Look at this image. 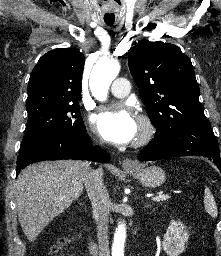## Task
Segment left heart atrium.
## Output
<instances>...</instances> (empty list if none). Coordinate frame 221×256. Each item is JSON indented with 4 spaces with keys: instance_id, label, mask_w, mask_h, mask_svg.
Returning a JSON list of instances; mask_svg holds the SVG:
<instances>
[{
    "instance_id": "1",
    "label": "left heart atrium",
    "mask_w": 221,
    "mask_h": 256,
    "mask_svg": "<svg viewBox=\"0 0 221 256\" xmlns=\"http://www.w3.org/2000/svg\"><path fill=\"white\" fill-rule=\"evenodd\" d=\"M92 122L97 131L113 143H128L139 133V121L128 106L100 112Z\"/></svg>"
}]
</instances>
